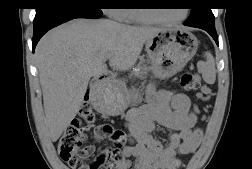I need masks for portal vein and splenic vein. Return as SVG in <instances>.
Returning a JSON list of instances; mask_svg holds the SVG:
<instances>
[{"label":"portal vein and splenic vein","instance_id":"obj_1","mask_svg":"<svg viewBox=\"0 0 252 169\" xmlns=\"http://www.w3.org/2000/svg\"><path fill=\"white\" fill-rule=\"evenodd\" d=\"M110 58H111V55H108L105 57V60L110 59Z\"/></svg>","mask_w":252,"mask_h":169}]
</instances>
